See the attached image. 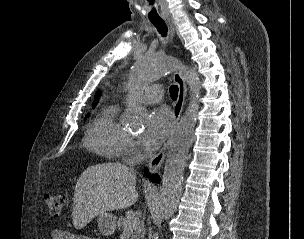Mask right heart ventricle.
I'll list each match as a JSON object with an SVG mask.
<instances>
[{"mask_svg": "<svg viewBox=\"0 0 304 239\" xmlns=\"http://www.w3.org/2000/svg\"><path fill=\"white\" fill-rule=\"evenodd\" d=\"M119 107L111 104L102 109L87 128L84 145L108 159H118L124 151L127 134L117 119Z\"/></svg>", "mask_w": 304, "mask_h": 239, "instance_id": "e07e8e85", "label": "right heart ventricle"}]
</instances>
